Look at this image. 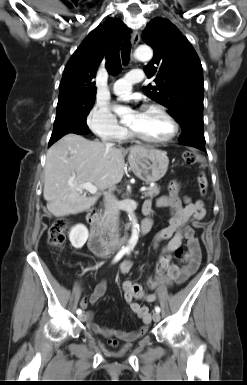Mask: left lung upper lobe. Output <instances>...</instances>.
<instances>
[{
	"mask_svg": "<svg viewBox=\"0 0 247 385\" xmlns=\"http://www.w3.org/2000/svg\"><path fill=\"white\" fill-rule=\"evenodd\" d=\"M143 39L154 50L144 71L156 83L143 91L167 107L182 128L203 124V71L192 45L174 24L160 17L147 24Z\"/></svg>",
	"mask_w": 247,
	"mask_h": 385,
	"instance_id": "5c2ea615",
	"label": "left lung upper lobe"
}]
</instances>
